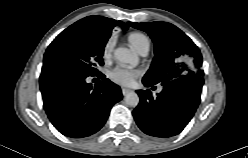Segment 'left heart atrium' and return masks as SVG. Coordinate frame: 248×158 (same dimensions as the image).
Wrapping results in <instances>:
<instances>
[{"mask_svg":"<svg viewBox=\"0 0 248 158\" xmlns=\"http://www.w3.org/2000/svg\"><path fill=\"white\" fill-rule=\"evenodd\" d=\"M140 74L141 71L138 69L117 65L109 71L108 77L112 82L118 85L128 86L131 85Z\"/></svg>","mask_w":248,"mask_h":158,"instance_id":"obj_1","label":"left heart atrium"}]
</instances>
